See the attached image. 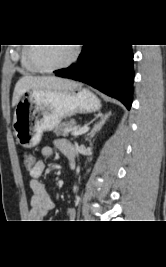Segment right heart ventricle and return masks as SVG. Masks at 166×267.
<instances>
[{
    "mask_svg": "<svg viewBox=\"0 0 166 267\" xmlns=\"http://www.w3.org/2000/svg\"><path fill=\"white\" fill-rule=\"evenodd\" d=\"M28 52V46H24L21 50V65L23 69L30 73H38L39 70H37L35 67H33L27 57Z\"/></svg>",
    "mask_w": 166,
    "mask_h": 267,
    "instance_id": "obj_1",
    "label": "right heart ventricle"
}]
</instances>
